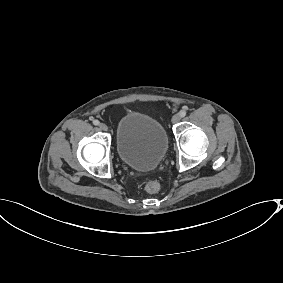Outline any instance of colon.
<instances>
[{"label":"colon","mask_w":283,"mask_h":283,"mask_svg":"<svg viewBox=\"0 0 283 283\" xmlns=\"http://www.w3.org/2000/svg\"><path fill=\"white\" fill-rule=\"evenodd\" d=\"M145 190L148 193H157L160 190V184L156 180H149L145 185Z\"/></svg>","instance_id":"colon-1"}]
</instances>
